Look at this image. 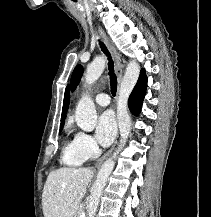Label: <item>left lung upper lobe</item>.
Listing matches in <instances>:
<instances>
[{
  "label": "left lung upper lobe",
  "instance_id": "left-lung-upper-lobe-1",
  "mask_svg": "<svg viewBox=\"0 0 211 217\" xmlns=\"http://www.w3.org/2000/svg\"><path fill=\"white\" fill-rule=\"evenodd\" d=\"M83 73V67L81 65H77L72 73L71 76V90H75V88L77 87L81 76Z\"/></svg>",
  "mask_w": 211,
  "mask_h": 217
}]
</instances>
